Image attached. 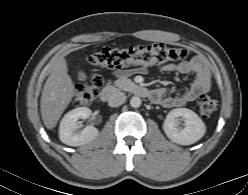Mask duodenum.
I'll use <instances>...</instances> for the list:
<instances>
[{
    "label": "duodenum",
    "mask_w": 248,
    "mask_h": 195,
    "mask_svg": "<svg viewBox=\"0 0 248 195\" xmlns=\"http://www.w3.org/2000/svg\"><path fill=\"white\" fill-rule=\"evenodd\" d=\"M118 84H123L132 94L136 96L147 97L150 95L149 89L139 83L126 82L125 80H120ZM117 91L118 85H107L101 90L100 98L103 102H109L115 97Z\"/></svg>",
    "instance_id": "410a0bca"
}]
</instances>
